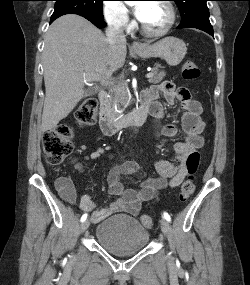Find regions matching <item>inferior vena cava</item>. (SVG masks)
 Masks as SVG:
<instances>
[{
	"mask_svg": "<svg viewBox=\"0 0 250 285\" xmlns=\"http://www.w3.org/2000/svg\"><path fill=\"white\" fill-rule=\"evenodd\" d=\"M106 38L111 46L117 43H126L124 28L119 20L113 19L106 29Z\"/></svg>",
	"mask_w": 250,
	"mask_h": 285,
	"instance_id": "1",
	"label": "inferior vena cava"
}]
</instances>
